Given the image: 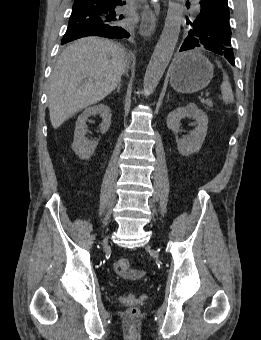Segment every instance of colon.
Wrapping results in <instances>:
<instances>
[{
  "mask_svg": "<svg viewBox=\"0 0 261 340\" xmlns=\"http://www.w3.org/2000/svg\"><path fill=\"white\" fill-rule=\"evenodd\" d=\"M130 268H131V262L130 260L126 258L118 260L114 265V269L116 273L118 274H127ZM129 313L134 316L138 313V310L136 308H131L129 310Z\"/></svg>",
  "mask_w": 261,
  "mask_h": 340,
  "instance_id": "5ec220e1",
  "label": "colon"
}]
</instances>
